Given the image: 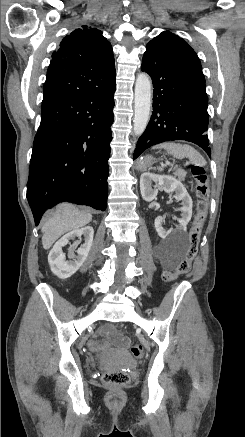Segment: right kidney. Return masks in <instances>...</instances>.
I'll use <instances>...</instances> for the list:
<instances>
[{
	"mask_svg": "<svg viewBox=\"0 0 245 437\" xmlns=\"http://www.w3.org/2000/svg\"><path fill=\"white\" fill-rule=\"evenodd\" d=\"M84 237V243L78 248L77 255L74 254L76 244H74L68 253L69 260L62 251V248L69 243V240H74L76 237ZM94 230L91 226H86L80 229L72 230L58 240L48 255V262L51 271L60 279L71 277L84 263L93 242Z\"/></svg>",
	"mask_w": 245,
	"mask_h": 437,
	"instance_id": "1",
	"label": "right kidney"
}]
</instances>
